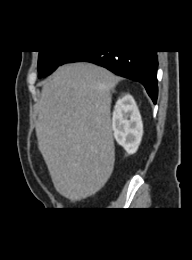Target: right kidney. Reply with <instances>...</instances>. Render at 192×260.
I'll return each mask as SVG.
<instances>
[{
	"instance_id": "ca27d5eb",
	"label": "right kidney",
	"mask_w": 192,
	"mask_h": 260,
	"mask_svg": "<svg viewBox=\"0 0 192 260\" xmlns=\"http://www.w3.org/2000/svg\"><path fill=\"white\" fill-rule=\"evenodd\" d=\"M114 138L128 154H134L141 142L143 123L132 96L120 98L114 107L112 117Z\"/></svg>"
}]
</instances>
